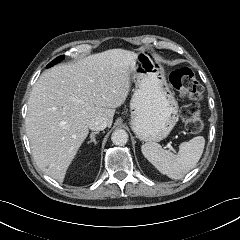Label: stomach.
<instances>
[{
	"label": "stomach",
	"mask_w": 240,
	"mask_h": 240,
	"mask_svg": "<svg viewBox=\"0 0 240 240\" xmlns=\"http://www.w3.org/2000/svg\"><path fill=\"white\" fill-rule=\"evenodd\" d=\"M132 79L131 128L141 141L159 142L179 119L178 103L166 82L160 57L151 51L138 53Z\"/></svg>",
	"instance_id": "0dacf381"
}]
</instances>
